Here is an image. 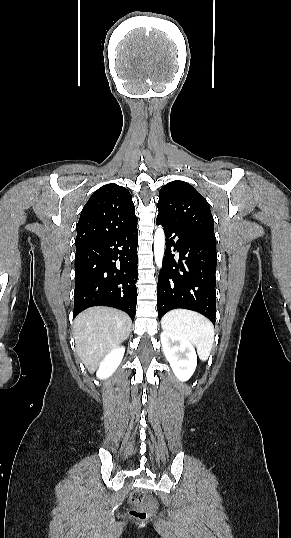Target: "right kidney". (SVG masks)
<instances>
[{
    "label": "right kidney",
    "mask_w": 291,
    "mask_h": 538,
    "mask_svg": "<svg viewBox=\"0 0 291 538\" xmlns=\"http://www.w3.org/2000/svg\"><path fill=\"white\" fill-rule=\"evenodd\" d=\"M125 353V348L119 346L106 355L100 363L96 376L99 379H106L111 376L120 365Z\"/></svg>",
    "instance_id": "ca27d5eb"
}]
</instances>
